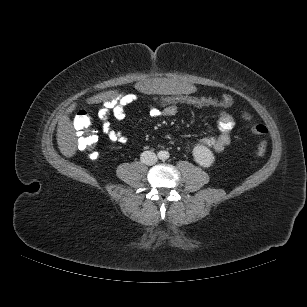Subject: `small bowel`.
Listing matches in <instances>:
<instances>
[{
	"label": "small bowel",
	"mask_w": 307,
	"mask_h": 307,
	"mask_svg": "<svg viewBox=\"0 0 307 307\" xmlns=\"http://www.w3.org/2000/svg\"><path fill=\"white\" fill-rule=\"evenodd\" d=\"M139 99L136 93H126L117 95L103 102L98 117L101 122L102 132L112 142L124 144L127 137L119 130L113 128L111 118L123 120L126 117L127 108ZM179 113V106L172 105L164 108L149 106V114L152 118L173 117ZM235 121L231 114L222 110L219 112L217 120L218 135H211L203 139L202 144L211 148L217 153L222 152L229 145L231 133Z\"/></svg>",
	"instance_id": "obj_1"
}]
</instances>
